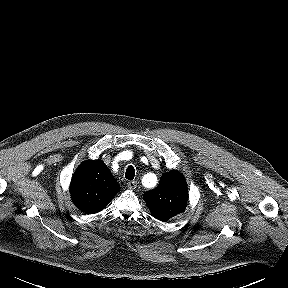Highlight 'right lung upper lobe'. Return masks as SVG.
Returning <instances> with one entry per match:
<instances>
[{"instance_id":"cb5924a9","label":"right lung upper lobe","mask_w":288,"mask_h":288,"mask_svg":"<svg viewBox=\"0 0 288 288\" xmlns=\"http://www.w3.org/2000/svg\"><path fill=\"white\" fill-rule=\"evenodd\" d=\"M120 191L109 168L101 161L88 160L75 171L70 185L77 208L94 214L101 211Z\"/></svg>"}]
</instances>
